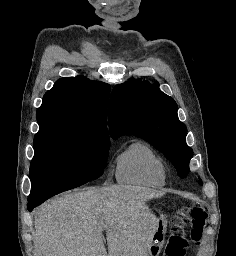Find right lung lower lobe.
I'll list each match as a JSON object with an SVG mask.
<instances>
[{
	"instance_id": "obj_1",
	"label": "right lung lower lobe",
	"mask_w": 236,
	"mask_h": 256,
	"mask_svg": "<svg viewBox=\"0 0 236 256\" xmlns=\"http://www.w3.org/2000/svg\"><path fill=\"white\" fill-rule=\"evenodd\" d=\"M70 189H67V190H63V191H59V192H56V193H53V194H50V195H47L45 197H42V198H39V199H35V200H30L27 204V208L28 210L31 212L35 207H37L38 205H40L41 203H43L45 200H47L48 198L58 194V193H61V192H64V191H68Z\"/></svg>"
}]
</instances>
